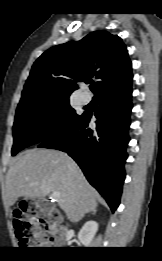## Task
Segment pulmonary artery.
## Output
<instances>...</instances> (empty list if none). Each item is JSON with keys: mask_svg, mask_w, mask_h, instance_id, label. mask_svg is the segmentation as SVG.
<instances>
[{"mask_svg": "<svg viewBox=\"0 0 162 261\" xmlns=\"http://www.w3.org/2000/svg\"><path fill=\"white\" fill-rule=\"evenodd\" d=\"M80 98H81V100H82L84 103H89V102L91 101V99H92V95H91V93L88 92V91H83V92H81V94H80Z\"/></svg>", "mask_w": 162, "mask_h": 261, "instance_id": "pulmonary-artery-1", "label": "pulmonary artery"}]
</instances>
